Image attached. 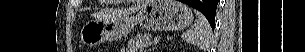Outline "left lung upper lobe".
Masks as SVG:
<instances>
[{
	"label": "left lung upper lobe",
	"instance_id": "5c2ea615",
	"mask_svg": "<svg viewBox=\"0 0 305 52\" xmlns=\"http://www.w3.org/2000/svg\"><path fill=\"white\" fill-rule=\"evenodd\" d=\"M215 14H216V9L214 11L213 10L204 11V15L211 25L215 24Z\"/></svg>",
	"mask_w": 305,
	"mask_h": 52
}]
</instances>
